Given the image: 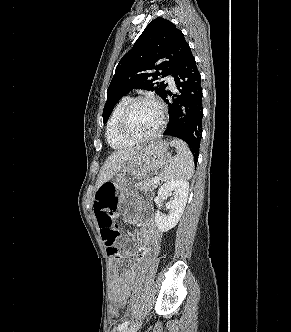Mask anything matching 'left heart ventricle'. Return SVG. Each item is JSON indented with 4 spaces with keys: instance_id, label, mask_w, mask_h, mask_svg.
<instances>
[{
    "instance_id": "b2bd125f",
    "label": "left heart ventricle",
    "mask_w": 291,
    "mask_h": 332,
    "mask_svg": "<svg viewBox=\"0 0 291 332\" xmlns=\"http://www.w3.org/2000/svg\"><path fill=\"white\" fill-rule=\"evenodd\" d=\"M160 123L157 106L151 102H140L131 110L127 130L134 136H147L155 132Z\"/></svg>"
}]
</instances>
